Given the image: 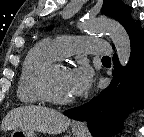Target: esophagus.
<instances>
[{"label":"esophagus","mask_w":144,"mask_h":137,"mask_svg":"<svg viewBox=\"0 0 144 137\" xmlns=\"http://www.w3.org/2000/svg\"><path fill=\"white\" fill-rule=\"evenodd\" d=\"M74 127L77 129H86L87 125L86 122L77 121L74 123Z\"/></svg>","instance_id":"obj_1"}]
</instances>
